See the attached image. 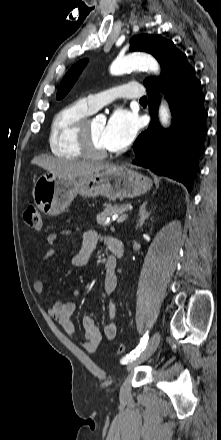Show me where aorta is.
<instances>
[{
	"mask_svg": "<svg viewBox=\"0 0 221 440\" xmlns=\"http://www.w3.org/2000/svg\"><path fill=\"white\" fill-rule=\"evenodd\" d=\"M146 68L154 73L160 72V66L157 60L146 53H132L127 56L117 58L110 67V73L121 75L129 70ZM159 119L163 126H167L170 120V111L165 102H162L159 108Z\"/></svg>",
	"mask_w": 221,
	"mask_h": 440,
	"instance_id": "1",
	"label": "aorta"
}]
</instances>
